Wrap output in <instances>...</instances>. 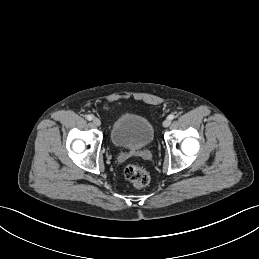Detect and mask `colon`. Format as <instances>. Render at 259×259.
Instances as JSON below:
<instances>
[{
	"label": "colon",
	"instance_id": "1",
	"mask_svg": "<svg viewBox=\"0 0 259 259\" xmlns=\"http://www.w3.org/2000/svg\"><path fill=\"white\" fill-rule=\"evenodd\" d=\"M125 179L135 187H144L149 183L148 172L140 166L129 165L124 169Z\"/></svg>",
	"mask_w": 259,
	"mask_h": 259
}]
</instances>
